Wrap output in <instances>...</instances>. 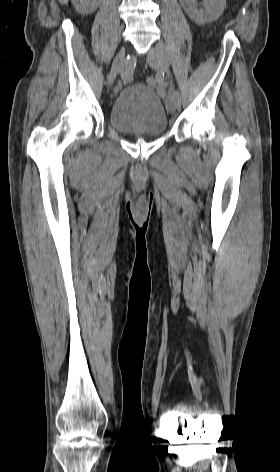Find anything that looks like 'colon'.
I'll return each mask as SVG.
<instances>
[{"label":"colon","instance_id":"colon-1","mask_svg":"<svg viewBox=\"0 0 280 472\" xmlns=\"http://www.w3.org/2000/svg\"><path fill=\"white\" fill-rule=\"evenodd\" d=\"M146 82L148 85L150 86H157L158 85V80L156 77L154 76H149L147 79H146Z\"/></svg>","mask_w":280,"mask_h":472}]
</instances>
